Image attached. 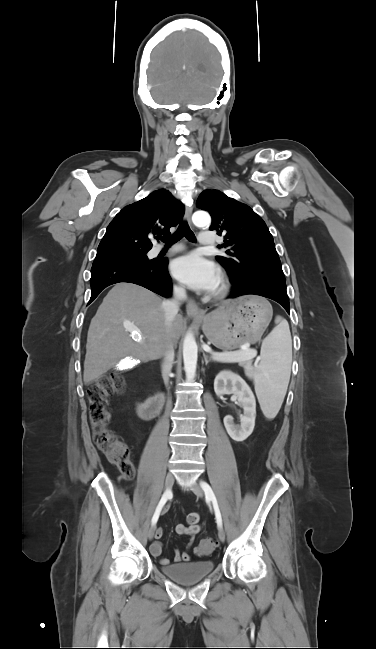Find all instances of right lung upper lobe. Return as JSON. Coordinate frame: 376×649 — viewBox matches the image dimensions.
Masks as SVG:
<instances>
[{
    "label": "right lung upper lobe",
    "instance_id": "right-lung-upper-lobe-1",
    "mask_svg": "<svg viewBox=\"0 0 376 649\" xmlns=\"http://www.w3.org/2000/svg\"><path fill=\"white\" fill-rule=\"evenodd\" d=\"M184 212V205L169 191H153L115 216L98 246L97 255L149 251L152 248L149 236L170 234V227L181 221Z\"/></svg>",
    "mask_w": 376,
    "mask_h": 649
}]
</instances>
